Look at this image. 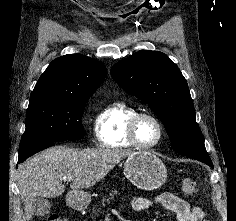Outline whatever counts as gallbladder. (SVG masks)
Segmentation results:
<instances>
[{
    "label": "gallbladder",
    "mask_w": 236,
    "mask_h": 221,
    "mask_svg": "<svg viewBox=\"0 0 236 221\" xmlns=\"http://www.w3.org/2000/svg\"><path fill=\"white\" fill-rule=\"evenodd\" d=\"M34 215L45 216L51 210L50 201L44 197H37L34 201Z\"/></svg>",
    "instance_id": "obj_1"
}]
</instances>
